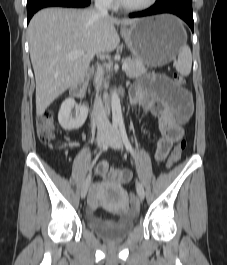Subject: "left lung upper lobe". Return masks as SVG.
<instances>
[{
    "label": "left lung upper lobe",
    "mask_w": 227,
    "mask_h": 265,
    "mask_svg": "<svg viewBox=\"0 0 227 265\" xmlns=\"http://www.w3.org/2000/svg\"><path fill=\"white\" fill-rule=\"evenodd\" d=\"M163 1H168V0H157L156 2L160 3V2H163ZM183 1H191L192 2V0H183Z\"/></svg>",
    "instance_id": "5c2ea615"
}]
</instances>
